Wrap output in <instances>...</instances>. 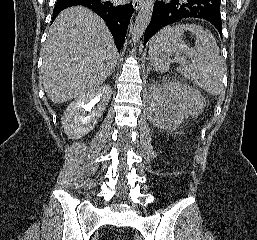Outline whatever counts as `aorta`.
<instances>
[{
	"instance_id": "aorta-1",
	"label": "aorta",
	"mask_w": 257,
	"mask_h": 240,
	"mask_svg": "<svg viewBox=\"0 0 257 240\" xmlns=\"http://www.w3.org/2000/svg\"><path fill=\"white\" fill-rule=\"evenodd\" d=\"M153 14V0H146L139 10L138 16L136 17L135 24L132 30L133 44L137 43L142 37L145 29L147 28Z\"/></svg>"
}]
</instances>
